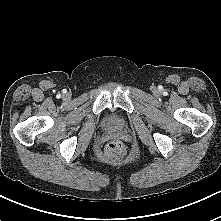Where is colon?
Segmentation results:
<instances>
[{"instance_id":"1","label":"colon","mask_w":221,"mask_h":221,"mask_svg":"<svg viewBox=\"0 0 221 221\" xmlns=\"http://www.w3.org/2000/svg\"><path fill=\"white\" fill-rule=\"evenodd\" d=\"M106 152L113 158H123L126 155V147L121 141H112L107 145Z\"/></svg>"}]
</instances>
